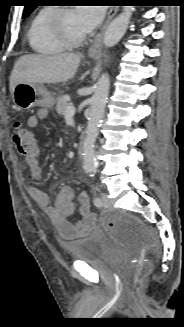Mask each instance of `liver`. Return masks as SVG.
<instances>
[{
	"mask_svg": "<svg viewBox=\"0 0 184 327\" xmlns=\"http://www.w3.org/2000/svg\"><path fill=\"white\" fill-rule=\"evenodd\" d=\"M81 55L63 53L57 55H24L20 57L10 76V92L18 83H62L72 79L79 67Z\"/></svg>",
	"mask_w": 184,
	"mask_h": 327,
	"instance_id": "1",
	"label": "liver"
}]
</instances>
